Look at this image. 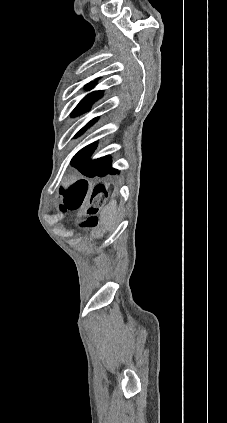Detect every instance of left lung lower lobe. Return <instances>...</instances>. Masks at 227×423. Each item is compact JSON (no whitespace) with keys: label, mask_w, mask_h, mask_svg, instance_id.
<instances>
[{"label":"left lung lower lobe","mask_w":227,"mask_h":423,"mask_svg":"<svg viewBox=\"0 0 227 423\" xmlns=\"http://www.w3.org/2000/svg\"><path fill=\"white\" fill-rule=\"evenodd\" d=\"M92 123L88 125H91ZM88 125L85 128H87ZM82 131H84V129ZM80 133L81 132H79L77 136ZM95 148L96 143L86 146L73 157L71 164L76 167L82 174L88 177H103L107 174H115L117 170L111 168L110 156H105L93 161L88 160Z\"/></svg>","instance_id":"obj_1"}]
</instances>
